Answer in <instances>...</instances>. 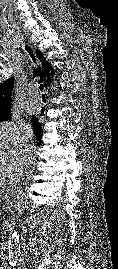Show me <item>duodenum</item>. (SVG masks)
<instances>
[{
    "mask_svg": "<svg viewBox=\"0 0 118 269\" xmlns=\"http://www.w3.org/2000/svg\"><path fill=\"white\" fill-rule=\"evenodd\" d=\"M12 225H13L12 219L6 218L2 222L3 231L6 232V233H8L12 229Z\"/></svg>",
    "mask_w": 118,
    "mask_h": 269,
    "instance_id": "obj_1",
    "label": "duodenum"
}]
</instances>
